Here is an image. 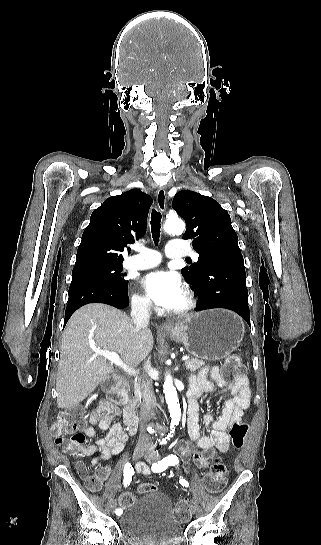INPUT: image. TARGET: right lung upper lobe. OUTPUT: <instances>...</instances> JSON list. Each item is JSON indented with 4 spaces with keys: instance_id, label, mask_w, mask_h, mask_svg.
I'll return each instance as SVG.
<instances>
[{
    "instance_id": "cb5924a9",
    "label": "right lung upper lobe",
    "mask_w": 321,
    "mask_h": 545,
    "mask_svg": "<svg viewBox=\"0 0 321 545\" xmlns=\"http://www.w3.org/2000/svg\"><path fill=\"white\" fill-rule=\"evenodd\" d=\"M151 204V197L139 189L106 199L93 211L82 234L74 269L122 264L127 244L134 243L146 232Z\"/></svg>"
}]
</instances>
